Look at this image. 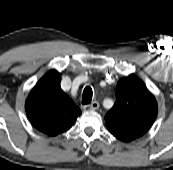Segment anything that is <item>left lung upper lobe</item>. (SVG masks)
<instances>
[{"instance_id":"1","label":"left lung upper lobe","mask_w":173,"mask_h":170,"mask_svg":"<svg viewBox=\"0 0 173 170\" xmlns=\"http://www.w3.org/2000/svg\"><path fill=\"white\" fill-rule=\"evenodd\" d=\"M117 100L105 116L109 132L129 142L143 136L152 126L158 112L155 97L135 75L120 79Z\"/></svg>"}]
</instances>
